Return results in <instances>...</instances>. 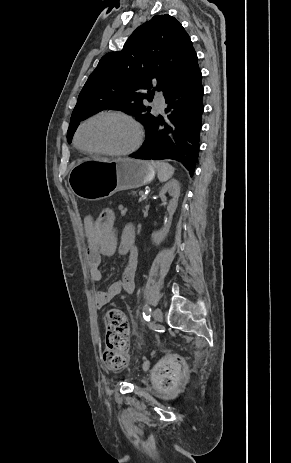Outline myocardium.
<instances>
[{
	"mask_svg": "<svg viewBox=\"0 0 291 463\" xmlns=\"http://www.w3.org/2000/svg\"><path fill=\"white\" fill-rule=\"evenodd\" d=\"M109 117L121 118L127 121L128 123H130L135 133L134 141L132 142V144L125 149H91V148L83 147L79 142L80 133L83 127L93 120L100 119V118H109ZM143 136L144 134H143L142 126L136 120L134 116L122 110H110V111H103V112L95 113L87 117L86 119H84L78 125L75 131L74 144L80 151L86 154L120 157V156H127V155L134 153L140 147L143 141Z\"/></svg>",
	"mask_w": 291,
	"mask_h": 463,
	"instance_id": "obj_1",
	"label": "myocardium"
}]
</instances>
